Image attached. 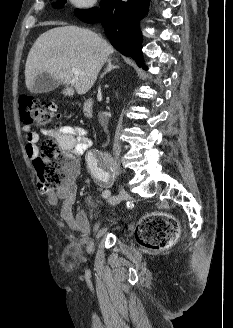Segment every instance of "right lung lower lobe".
I'll use <instances>...</instances> for the list:
<instances>
[{"mask_svg": "<svg viewBox=\"0 0 233 328\" xmlns=\"http://www.w3.org/2000/svg\"><path fill=\"white\" fill-rule=\"evenodd\" d=\"M149 1L102 0L100 10L92 8L75 14L87 23L101 19L111 44L123 55L135 59L139 67H144L139 21L147 13Z\"/></svg>", "mask_w": 233, "mask_h": 328, "instance_id": "1", "label": "right lung lower lobe"}]
</instances>
